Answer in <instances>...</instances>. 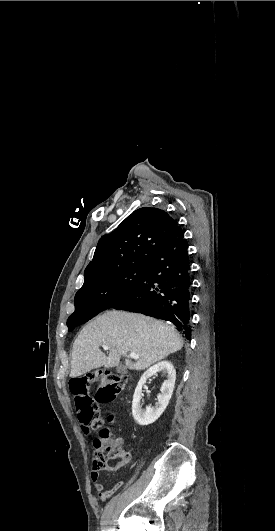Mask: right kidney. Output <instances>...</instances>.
Returning a JSON list of instances; mask_svg holds the SVG:
<instances>
[{"label": "right kidney", "instance_id": "obj_1", "mask_svg": "<svg viewBox=\"0 0 275 531\" xmlns=\"http://www.w3.org/2000/svg\"><path fill=\"white\" fill-rule=\"evenodd\" d=\"M158 371H164V373H167V381L162 383V387L160 389L161 393L157 397V407H146V409H142L140 403L142 389L147 379H150V377L156 375ZM175 381L176 373L170 361H160V363L153 365V367H150V369L145 371L135 389L132 401V415L138 425H151V423H155V421L159 419L160 415L164 413L173 395Z\"/></svg>", "mask_w": 275, "mask_h": 531}]
</instances>
